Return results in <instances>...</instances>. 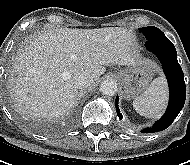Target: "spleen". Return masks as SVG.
<instances>
[{"label":"spleen","mask_w":190,"mask_h":165,"mask_svg":"<svg viewBox=\"0 0 190 165\" xmlns=\"http://www.w3.org/2000/svg\"><path fill=\"white\" fill-rule=\"evenodd\" d=\"M167 99V83L161 76L154 79L148 89L135 98L133 107L141 116L159 118L166 107Z\"/></svg>","instance_id":"1"}]
</instances>
